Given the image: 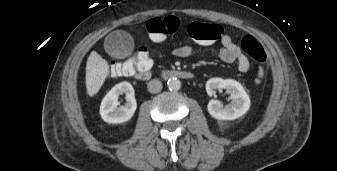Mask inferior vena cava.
Segmentation results:
<instances>
[{
    "mask_svg": "<svg viewBox=\"0 0 337 171\" xmlns=\"http://www.w3.org/2000/svg\"><path fill=\"white\" fill-rule=\"evenodd\" d=\"M162 82L158 79H153L148 83V91L150 93H158L162 90Z\"/></svg>",
    "mask_w": 337,
    "mask_h": 171,
    "instance_id": "1",
    "label": "inferior vena cava"
}]
</instances>
